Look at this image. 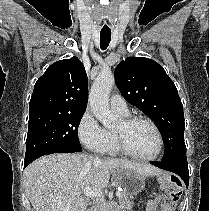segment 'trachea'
Returning a JSON list of instances; mask_svg holds the SVG:
<instances>
[{
  "mask_svg": "<svg viewBox=\"0 0 209 211\" xmlns=\"http://www.w3.org/2000/svg\"><path fill=\"white\" fill-rule=\"evenodd\" d=\"M111 40V31H101L100 32V47L102 50H105Z\"/></svg>",
  "mask_w": 209,
  "mask_h": 211,
  "instance_id": "1",
  "label": "trachea"
}]
</instances>
